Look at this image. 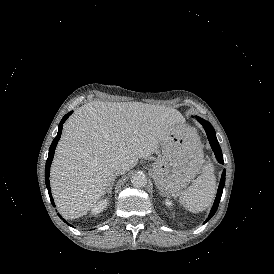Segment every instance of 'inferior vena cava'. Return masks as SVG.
<instances>
[{
    "label": "inferior vena cava",
    "mask_w": 274,
    "mask_h": 274,
    "mask_svg": "<svg viewBox=\"0 0 274 274\" xmlns=\"http://www.w3.org/2000/svg\"><path fill=\"white\" fill-rule=\"evenodd\" d=\"M124 171H125V170H124V168L122 167L121 170H120V172H119L118 174H121V175H122V174L125 173Z\"/></svg>",
    "instance_id": "602c4592"
}]
</instances>
